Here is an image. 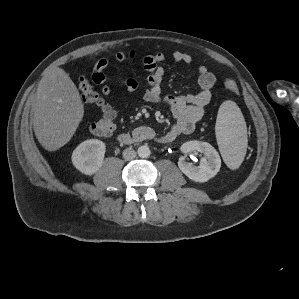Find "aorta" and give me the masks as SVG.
Returning a JSON list of instances; mask_svg holds the SVG:
<instances>
[{
  "label": "aorta",
  "instance_id": "1",
  "mask_svg": "<svg viewBox=\"0 0 299 299\" xmlns=\"http://www.w3.org/2000/svg\"><path fill=\"white\" fill-rule=\"evenodd\" d=\"M137 153L139 157L147 158L150 156V149L147 145H143L138 148Z\"/></svg>",
  "mask_w": 299,
  "mask_h": 299
}]
</instances>
